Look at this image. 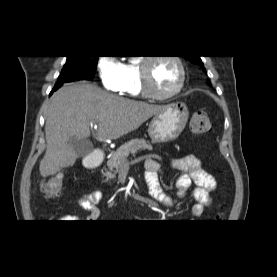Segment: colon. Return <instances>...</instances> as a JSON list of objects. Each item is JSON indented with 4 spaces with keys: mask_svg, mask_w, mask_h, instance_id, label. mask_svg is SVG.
<instances>
[{
    "mask_svg": "<svg viewBox=\"0 0 277 277\" xmlns=\"http://www.w3.org/2000/svg\"><path fill=\"white\" fill-rule=\"evenodd\" d=\"M190 131L195 136H206L212 130L211 120L205 111H197L193 113L190 123ZM63 186V174L58 172L51 177L42 180L40 188L42 193L47 197L59 194Z\"/></svg>",
    "mask_w": 277,
    "mask_h": 277,
    "instance_id": "colon-1",
    "label": "colon"
}]
</instances>
